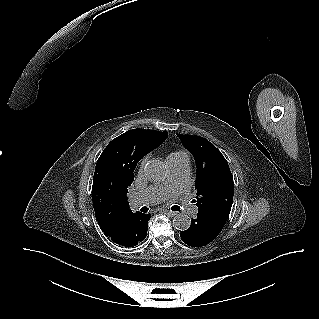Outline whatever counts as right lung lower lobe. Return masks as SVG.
<instances>
[{"label": "right lung lower lobe", "instance_id": "obj_1", "mask_svg": "<svg viewBox=\"0 0 319 319\" xmlns=\"http://www.w3.org/2000/svg\"><path fill=\"white\" fill-rule=\"evenodd\" d=\"M150 217V214L130 212L115 225L114 231L107 236L121 246L133 247L146 238Z\"/></svg>", "mask_w": 319, "mask_h": 319}]
</instances>
